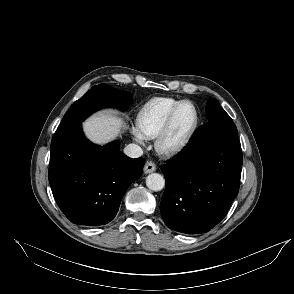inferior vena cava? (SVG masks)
Masks as SVG:
<instances>
[{"label":"inferior vena cava","instance_id":"1","mask_svg":"<svg viewBox=\"0 0 294 294\" xmlns=\"http://www.w3.org/2000/svg\"><path fill=\"white\" fill-rule=\"evenodd\" d=\"M124 153L130 158H138L142 156L143 150L137 144H129L124 148Z\"/></svg>","mask_w":294,"mask_h":294}]
</instances>
